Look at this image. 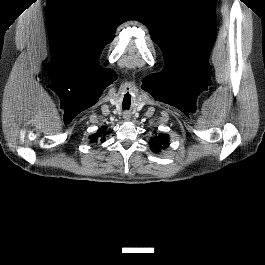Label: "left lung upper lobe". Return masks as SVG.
<instances>
[{"label": "left lung upper lobe", "instance_id": "left-lung-upper-lobe-1", "mask_svg": "<svg viewBox=\"0 0 265 265\" xmlns=\"http://www.w3.org/2000/svg\"><path fill=\"white\" fill-rule=\"evenodd\" d=\"M151 149L158 153L169 146V136L164 134L156 135L149 141Z\"/></svg>", "mask_w": 265, "mask_h": 265}]
</instances>
